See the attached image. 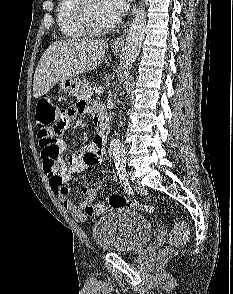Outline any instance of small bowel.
I'll return each instance as SVG.
<instances>
[{
    "instance_id": "1",
    "label": "small bowel",
    "mask_w": 233,
    "mask_h": 294,
    "mask_svg": "<svg viewBox=\"0 0 233 294\" xmlns=\"http://www.w3.org/2000/svg\"><path fill=\"white\" fill-rule=\"evenodd\" d=\"M95 102L80 101L72 104L71 108H58V120L51 123L52 132H39V137H56L52 144L43 143L40 138L42 150L43 168L52 191L57 195L63 207L77 221H85L93 214L87 212L88 207L94 205L97 190L103 184L104 179L91 186L80 187V192L85 197L81 205H76L69 197V182L72 174L81 172L89 167L99 165L104 160V147L95 137L92 142L80 150L65 152L67 142L63 139L64 134H71L68 126H74V119L81 115L94 117ZM67 157V158H65Z\"/></svg>"
}]
</instances>
